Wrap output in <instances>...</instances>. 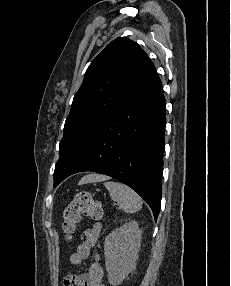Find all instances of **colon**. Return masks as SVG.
Masks as SVG:
<instances>
[{
	"label": "colon",
	"instance_id": "colon-1",
	"mask_svg": "<svg viewBox=\"0 0 231 286\" xmlns=\"http://www.w3.org/2000/svg\"><path fill=\"white\" fill-rule=\"evenodd\" d=\"M102 216V207L89 192H79L62 211V228L71 236L84 217L98 219Z\"/></svg>",
	"mask_w": 231,
	"mask_h": 286
}]
</instances>
